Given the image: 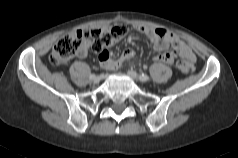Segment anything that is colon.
I'll list each match as a JSON object with an SVG mask.
<instances>
[{
	"mask_svg": "<svg viewBox=\"0 0 238 158\" xmlns=\"http://www.w3.org/2000/svg\"><path fill=\"white\" fill-rule=\"evenodd\" d=\"M126 32L127 29L123 25L70 32L56 42L49 56V61L53 65H61L75 56L84 54L88 48L100 54L122 38ZM177 66L183 74H189L193 71V65L184 59H179Z\"/></svg>",
	"mask_w": 238,
	"mask_h": 158,
	"instance_id": "5ec220e1",
	"label": "colon"
}]
</instances>
